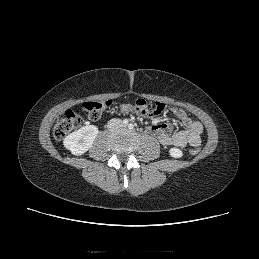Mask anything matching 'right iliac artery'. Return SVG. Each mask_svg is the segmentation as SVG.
Wrapping results in <instances>:
<instances>
[{"label": "right iliac artery", "mask_w": 259, "mask_h": 259, "mask_svg": "<svg viewBox=\"0 0 259 259\" xmlns=\"http://www.w3.org/2000/svg\"><path fill=\"white\" fill-rule=\"evenodd\" d=\"M128 123H129V122H128L127 119H124V120H123V124H124L125 126L128 125Z\"/></svg>", "instance_id": "82829eb1"}]
</instances>
